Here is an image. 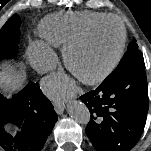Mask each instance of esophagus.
<instances>
[{
    "mask_svg": "<svg viewBox=\"0 0 151 151\" xmlns=\"http://www.w3.org/2000/svg\"><path fill=\"white\" fill-rule=\"evenodd\" d=\"M54 109L58 114H62L65 110V104L62 102L54 101Z\"/></svg>",
    "mask_w": 151,
    "mask_h": 151,
    "instance_id": "1",
    "label": "esophagus"
}]
</instances>
